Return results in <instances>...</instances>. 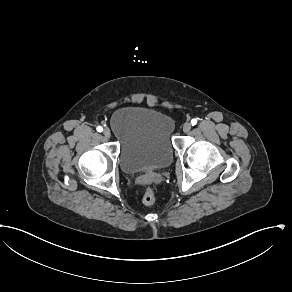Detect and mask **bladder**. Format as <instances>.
<instances>
[{"label": "bladder", "mask_w": 292, "mask_h": 292, "mask_svg": "<svg viewBox=\"0 0 292 292\" xmlns=\"http://www.w3.org/2000/svg\"><path fill=\"white\" fill-rule=\"evenodd\" d=\"M112 131L120 145V166L126 173L161 168L174 156V121L166 112L150 106L130 105L116 110Z\"/></svg>", "instance_id": "31cf9c89"}]
</instances>
